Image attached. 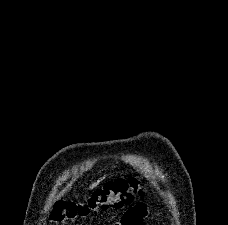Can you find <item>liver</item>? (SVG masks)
Masks as SVG:
<instances>
[{
    "label": "liver",
    "instance_id": "1",
    "mask_svg": "<svg viewBox=\"0 0 228 225\" xmlns=\"http://www.w3.org/2000/svg\"><path fill=\"white\" fill-rule=\"evenodd\" d=\"M98 183H100V181H97V183H92L91 187H89V189H95V187H97Z\"/></svg>",
    "mask_w": 228,
    "mask_h": 225
}]
</instances>
